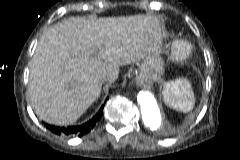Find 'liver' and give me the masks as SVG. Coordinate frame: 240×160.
<instances>
[{
  "label": "liver",
  "mask_w": 240,
  "mask_h": 160,
  "mask_svg": "<svg viewBox=\"0 0 240 160\" xmlns=\"http://www.w3.org/2000/svg\"><path fill=\"white\" fill-rule=\"evenodd\" d=\"M159 21L150 15L69 18L39 39L30 64L28 92L37 116L73 124L99 97L104 76L119 66L158 54Z\"/></svg>",
  "instance_id": "liver-1"
}]
</instances>
